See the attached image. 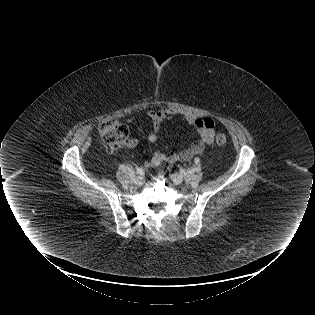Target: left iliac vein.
<instances>
[{
    "label": "left iliac vein",
    "instance_id": "obj_1",
    "mask_svg": "<svg viewBox=\"0 0 315 315\" xmlns=\"http://www.w3.org/2000/svg\"><path fill=\"white\" fill-rule=\"evenodd\" d=\"M184 178L181 174H175L172 177V181L174 184H181L183 182Z\"/></svg>",
    "mask_w": 315,
    "mask_h": 315
}]
</instances>
